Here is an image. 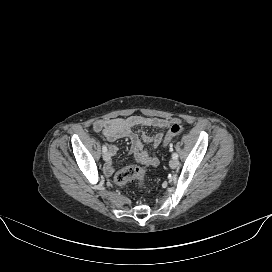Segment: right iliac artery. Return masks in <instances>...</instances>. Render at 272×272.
Returning <instances> with one entry per match:
<instances>
[{"mask_svg":"<svg viewBox=\"0 0 272 272\" xmlns=\"http://www.w3.org/2000/svg\"><path fill=\"white\" fill-rule=\"evenodd\" d=\"M102 151L105 153L107 152V147L105 145L102 146Z\"/></svg>","mask_w":272,"mask_h":272,"instance_id":"82829eb1","label":"right iliac artery"}]
</instances>
